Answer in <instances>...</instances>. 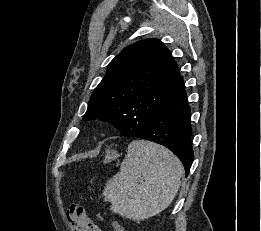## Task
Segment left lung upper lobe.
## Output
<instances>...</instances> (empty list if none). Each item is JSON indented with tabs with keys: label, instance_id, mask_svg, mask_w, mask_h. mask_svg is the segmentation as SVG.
<instances>
[{
	"label": "left lung upper lobe",
	"instance_id": "5c2ea615",
	"mask_svg": "<svg viewBox=\"0 0 261 231\" xmlns=\"http://www.w3.org/2000/svg\"><path fill=\"white\" fill-rule=\"evenodd\" d=\"M183 90V78L165 45L158 39L141 40L109 63L83 120L100 118L121 132H139Z\"/></svg>",
	"mask_w": 261,
	"mask_h": 231
}]
</instances>
